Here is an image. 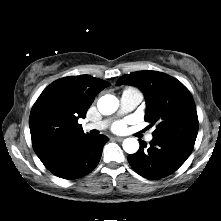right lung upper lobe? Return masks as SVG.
I'll return each mask as SVG.
<instances>
[{
    "label": "right lung upper lobe",
    "instance_id": "1",
    "mask_svg": "<svg viewBox=\"0 0 221 221\" xmlns=\"http://www.w3.org/2000/svg\"><path fill=\"white\" fill-rule=\"evenodd\" d=\"M109 82L89 76H69L51 83L32 107L29 127L35 153L44 165L85 136L79 118Z\"/></svg>",
    "mask_w": 221,
    "mask_h": 221
}]
</instances>
